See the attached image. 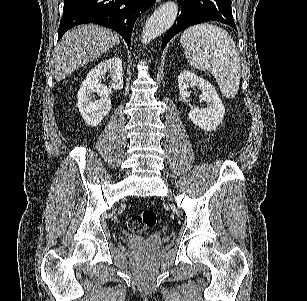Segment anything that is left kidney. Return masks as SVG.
I'll return each mask as SVG.
<instances>
[{
    "instance_id": "obj_1",
    "label": "left kidney",
    "mask_w": 307,
    "mask_h": 301,
    "mask_svg": "<svg viewBox=\"0 0 307 301\" xmlns=\"http://www.w3.org/2000/svg\"><path fill=\"white\" fill-rule=\"evenodd\" d=\"M179 92L182 98H190L191 90L189 86H197L202 90L199 98L206 102L205 108L192 106L188 116L196 126L203 130H215L223 120L225 106L216 92L213 84L209 80H204L191 70H181L178 76Z\"/></svg>"
}]
</instances>
